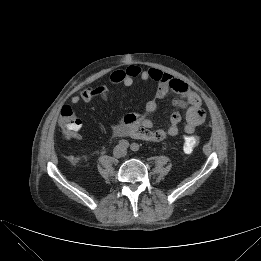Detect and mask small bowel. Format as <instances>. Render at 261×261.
I'll use <instances>...</instances> for the list:
<instances>
[{"mask_svg": "<svg viewBox=\"0 0 261 261\" xmlns=\"http://www.w3.org/2000/svg\"><path fill=\"white\" fill-rule=\"evenodd\" d=\"M137 78L153 80L157 83L155 98L146 103L143 113H129L121 122L114 125L112 128L114 136L133 137L150 142H160L169 137H175L179 134L183 118L181 110H185V124L183 127L185 133H194L196 128L204 123L206 111L202 107L200 97L185 82L175 79L158 69H142L139 66L131 65L124 69L114 70L109 76V81L113 85L121 84L128 87ZM170 92L177 95L173 100V105L178 110L171 114L166 129L153 130L154 122L151 116L157 109V100L166 97ZM108 96V86L101 84L83 89L80 94L72 97L71 102L73 105H77L80 102H90L95 98L107 100ZM75 137L80 138V134L76 133Z\"/></svg>", "mask_w": 261, "mask_h": 261, "instance_id": "obj_1", "label": "small bowel"}]
</instances>
